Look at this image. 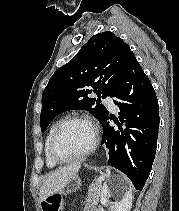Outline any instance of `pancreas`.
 <instances>
[{"instance_id": "obj_1", "label": "pancreas", "mask_w": 179, "mask_h": 211, "mask_svg": "<svg viewBox=\"0 0 179 211\" xmlns=\"http://www.w3.org/2000/svg\"><path fill=\"white\" fill-rule=\"evenodd\" d=\"M101 189L102 181L100 179L96 180L90 185L88 189L85 209L91 208L92 206L98 203L101 194Z\"/></svg>"}]
</instances>
